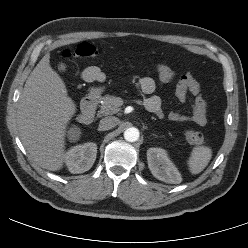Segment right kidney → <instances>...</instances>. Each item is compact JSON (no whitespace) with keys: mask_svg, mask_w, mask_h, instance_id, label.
<instances>
[{"mask_svg":"<svg viewBox=\"0 0 248 248\" xmlns=\"http://www.w3.org/2000/svg\"><path fill=\"white\" fill-rule=\"evenodd\" d=\"M97 155V145L88 142L72 147L65 154V163L71 173H84L94 164Z\"/></svg>","mask_w":248,"mask_h":248,"instance_id":"obj_1","label":"right kidney"}]
</instances>
